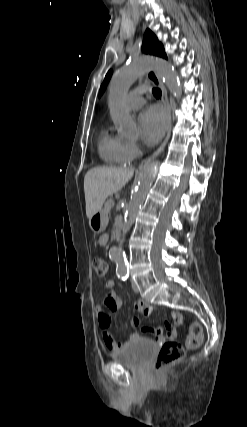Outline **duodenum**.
I'll return each mask as SVG.
<instances>
[{"mask_svg": "<svg viewBox=\"0 0 247 427\" xmlns=\"http://www.w3.org/2000/svg\"><path fill=\"white\" fill-rule=\"evenodd\" d=\"M122 233H123V224H118L116 231H115V237L118 241L122 239Z\"/></svg>", "mask_w": 247, "mask_h": 427, "instance_id": "1", "label": "duodenum"}]
</instances>
